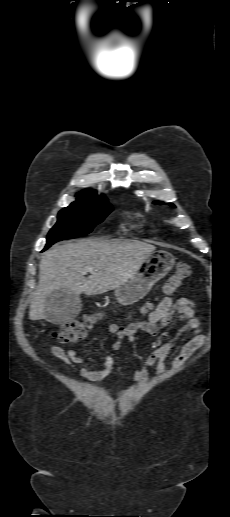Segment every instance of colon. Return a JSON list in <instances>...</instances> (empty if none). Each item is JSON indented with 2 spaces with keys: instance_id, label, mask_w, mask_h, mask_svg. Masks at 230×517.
<instances>
[{
  "instance_id": "colon-1",
  "label": "colon",
  "mask_w": 230,
  "mask_h": 517,
  "mask_svg": "<svg viewBox=\"0 0 230 517\" xmlns=\"http://www.w3.org/2000/svg\"><path fill=\"white\" fill-rule=\"evenodd\" d=\"M191 275L192 269L188 264H178L176 270L172 273L164 285V293H173L180 286L182 281L189 278ZM150 309L151 306L149 305L144 308L143 312H148ZM98 319L99 315L90 314L84 316L81 320L67 322L63 324L56 332H54V336L60 343H75L87 335L88 331L93 327Z\"/></svg>"
}]
</instances>
